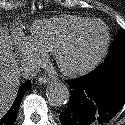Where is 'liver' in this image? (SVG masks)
Here are the masks:
<instances>
[{
  "label": "liver",
  "mask_w": 125,
  "mask_h": 125,
  "mask_svg": "<svg viewBox=\"0 0 125 125\" xmlns=\"http://www.w3.org/2000/svg\"><path fill=\"white\" fill-rule=\"evenodd\" d=\"M19 69L11 51L10 36L0 27V117L4 115L16 98Z\"/></svg>",
  "instance_id": "obj_1"
}]
</instances>
